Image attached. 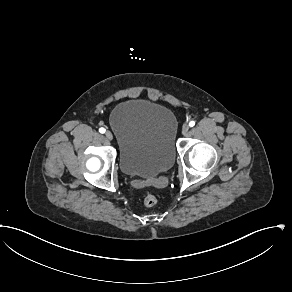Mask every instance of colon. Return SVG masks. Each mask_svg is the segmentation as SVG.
<instances>
[{
    "instance_id": "1",
    "label": "colon",
    "mask_w": 292,
    "mask_h": 292,
    "mask_svg": "<svg viewBox=\"0 0 292 292\" xmlns=\"http://www.w3.org/2000/svg\"><path fill=\"white\" fill-rule=\"evenodd\" d=\"M143 203L148 207L154 206L157 203V196L152 192H147L143 197Z\"/></svg>"
}]
</instances>
